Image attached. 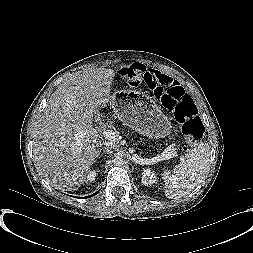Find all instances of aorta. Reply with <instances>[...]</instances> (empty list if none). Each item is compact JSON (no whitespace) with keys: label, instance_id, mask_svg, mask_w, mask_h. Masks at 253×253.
<instances>
[{"label":"aorta","instance_id":"obj_1","mask_svg":"<svg viewBox=\"0 0 253 253\" xmlns=\"http://www.w3.org/2000/svg\"><path fill=\"white\" fill-rule=\"evenodd\" d=\"M113 162H114V164H115L116 166H121V165H123V163H124V159H123L122 155H117V156L114 158Z\"/></svg>","mask_w":253,"mask_h":253}]
</instances>
